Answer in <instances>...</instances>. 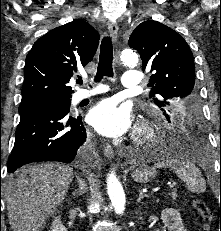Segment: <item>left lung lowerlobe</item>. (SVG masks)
Wrapping results in <instances>:
<instances>
[{
  "instance_id": "obj_1",
  "label": "left lung lower lobe",
  "mask_w": 221,
  "mask_h": 231,
  "mask_svg": "<svg viewBox=\"0 0 221 231\" xmlns=\"http://www.w3.org/2000/svg\"><path fill=\"white\" fill-rule=\"evenodd\" d=\"M200 121L201 120L198 116H193L186 127L187 132H183V134L173 133V142L180 147H185V149L188 148L191 150H193L191 146L198 143L201 145L204 141V134L201 129ZM186 133L188 134L186 135ZM200 145L195 150L203 152L204 149Z\"/></svg>"
}]
</instances>
